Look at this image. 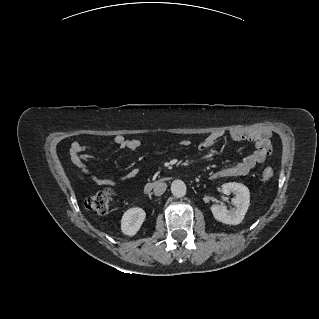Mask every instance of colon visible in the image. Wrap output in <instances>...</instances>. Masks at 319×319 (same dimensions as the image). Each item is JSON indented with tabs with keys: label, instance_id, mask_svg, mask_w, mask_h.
I'll use <instances>...</instances> for the list:
<instances>
[{
	"label": "colon",
	"instance_id": "obj_1",
	"mask_svg": "<svg viewBox=\"0 0 319 319\" xmlns=\"http://www.w3.org/2000/svg\"><path fill=\"white\" fill-rule=\"evenodd\" d=\"M266 147L269 152L270 145L267 144ZM273 176H274V170L270 167H267L262 171V178L265 181L271 180ZM110 200H111V192L110 190L105 189L88 197L85 200L84 206L88 211L98 216H103L107 214L109 210Z\"/></svg>",
	"mask_w": 319,
	"mask_h": 319
}]
</instances>
